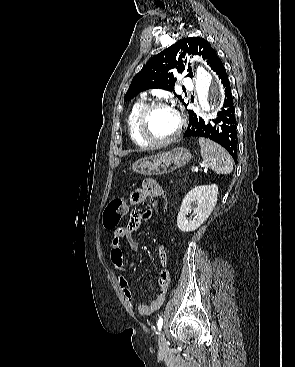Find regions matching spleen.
<instances>
[{"mask_svg": "<svg viewBox=\"0 0 295 367\" xmlns=\"http://www.w3.org/2000/svg\"><path fill=\"white\" fill-rule=\"evenodd\" d=\"M203 166L217 174H231L233 160L229 153L219 144L204 138L199 139Z\"/></svg>", "mask_w": 295, "mask_h": 367, "instance_id": "spleen-1", "label": "spleen"}]
</instances>
